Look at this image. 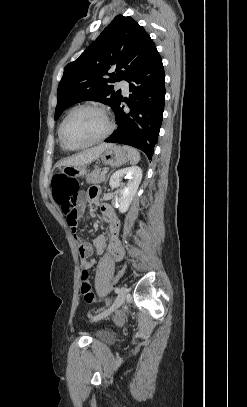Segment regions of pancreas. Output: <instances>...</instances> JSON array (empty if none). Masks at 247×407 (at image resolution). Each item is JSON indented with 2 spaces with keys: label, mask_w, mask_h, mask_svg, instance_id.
Instances as JSON below:
<instances>
[{
  "label": "pancreas",
  "mask_w": 247,
  "mask_h": 407,
  "mask_svg": "<svg viewBox=\"0 0 247 407\" xmlns=\"http://www.w3.org/2000/svg\"><path fill=\"white\" fill-rule=\"evenodd\" d=\"M101 168H95L91 173L86 175V182L88 184H97L106 181V175H102Z\"/></svg>",
  "instance_id": "cf45deb5"
}]
</instances>
